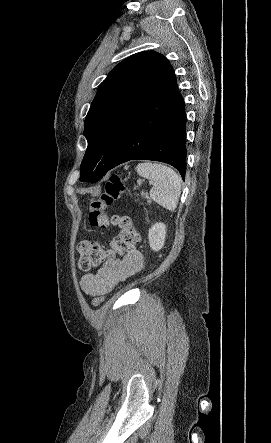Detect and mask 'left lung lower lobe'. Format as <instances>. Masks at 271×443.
Returning <instances> with one entry per match:
<instances>
[{
  "label": "left lung lower lobe",
  "instance_id": "left-lung-lower-lobe-1",
  "mask_svg": "<svg viewBox=\"0 0 271 443\" xmlns=\"http://www.w3.org/2000/svg\"><path fill=\"white\" fill-rule=\"evenodd\" d=\"M185 123L184 100L169 64L132 117L110 169L134 159L160 161L175 167L184 180Z\"/></svg>",
  "mask_w": 271,
  "mask_h": 443
}]
</instances>
